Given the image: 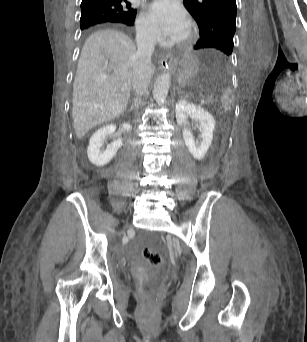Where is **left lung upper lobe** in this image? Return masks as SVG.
I'll return each mask as SVG.
<instances>
[{"label": "left lung upper lobe", "mask_w": 307, "mask_h": 342, "mask_svg": "<svg viewBox=\"0 0 307 342\" xmlns=\"http://www.w3.org/2000/svg\"><path fill=\"white\" fill-rule=\"evenodd\" d=\"M184 5L199 27L200 38L194 49L215 48L231 55L236 30V0H185Z\"/></svg>", "instance_id": "1"}]
</instances>
